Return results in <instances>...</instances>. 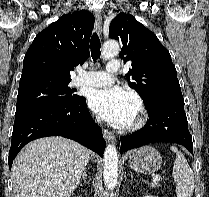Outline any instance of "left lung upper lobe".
Listing matches in <instances>:
<instances>
[{"label": "left lung upper lobe", "mask_w": 209, "mask_h": 197, "mask_svg": "<svg viewBox=\"0 0 209 197\" xmlns=\"http://www.w3.org/2000/svg\"><path fill=\"white\" fill-rule=\"evenodd\" d=\"M109 36L122 43L124 62H132L126 74L128 84L139 93L145 107L159 99L183 98L171 55L153 32L132 15L119 13L111 21Z\"/></svg>", "instance_id": "left-lung-upper-lobe-1"}]
</instances>
